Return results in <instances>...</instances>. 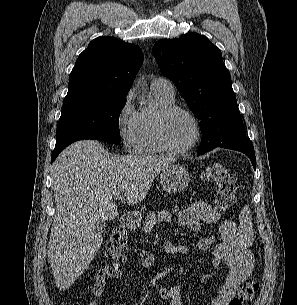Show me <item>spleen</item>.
Returning a JSON list of instances; mask_svg holds the SVG:
<instances>
[{"mask_svg":"<svg viewBox=\"0 0 297 305\" xmlns=\"http://www.w3.org/2000/svg\"><path fill=\"white\" fill-rule=\"evenodd\" d=\"M240 232L243 236H252V217L248 206H244L239 214Z\"/></svg>","mask_w":297,"mask_h":305,"instance_id":"3e777b00","label":"spleen"}]
</instances>
